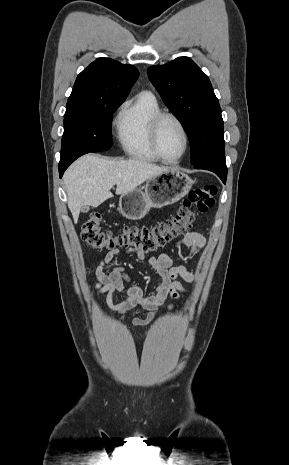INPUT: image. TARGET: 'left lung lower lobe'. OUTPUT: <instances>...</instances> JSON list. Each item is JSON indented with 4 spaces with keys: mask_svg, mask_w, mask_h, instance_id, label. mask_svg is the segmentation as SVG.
<instances>
[{
    "mask_svg": "<svg viewBox=\"0 0 289 465\" xmlns=\"http://www.w3.org/2000/svg\"><path fill=\"white\" fill-rule=\"evenodd\" d=\"M214 172L225 184L226 183V177H227V172H219V171H212Z\"/></svg>",
    "mask_w": 289,
    "mask_h": 465,
    "instance_id": "0a47b994",
    "label": "left lung lower lobe"
}]
</instances>
